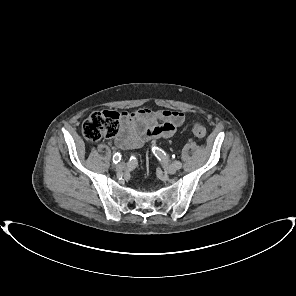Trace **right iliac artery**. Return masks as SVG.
I'll list each match as a JSON object with an SVG mask.
<instances>
[{"instance_id": "obj_1", "label": "right iliac artery", "mask_w": 296, "mask_h": 296, "mask_svg": "<svg viewBox=\"0 0 296 296\" xmlns=\"http://www.w3.org/2000/svg\"><path fill=\"white\" fill-rule=\"evenodd\" d=\"M121 160V155L120 153H115L113 156V162L116 164Z\"/></svg>"}]
</instances>
